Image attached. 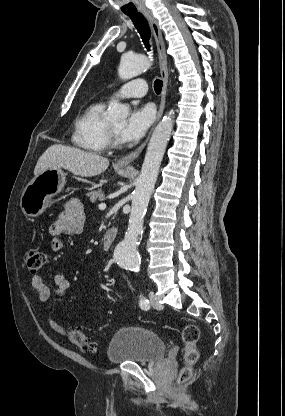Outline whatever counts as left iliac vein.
I'll use <instances>...</instances> for the list:
<instances>
[{
  "label": "left iliac vein",
  "instance_id": "4c4485c4",
  "mask_svg": "<svg viewBox=\"0 0 285 416\" xmlns=\"http://www.w3.org/2000/svg\"><path fill=\"white\" fill-rule=\"evenodd\" d=\"M149 298L151 301V306L154 309L161 310L163 308V305L160 303L158 297L153 292H150Z\"/></svg>",
  "mask_w": 285,
  "mask_h": 416
}]
</instances>
